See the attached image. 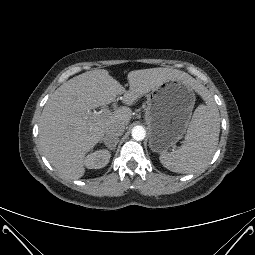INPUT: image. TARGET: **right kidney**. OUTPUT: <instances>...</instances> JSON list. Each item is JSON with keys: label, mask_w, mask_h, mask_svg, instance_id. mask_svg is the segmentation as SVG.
I'll return each instance as SVG.
<instances>
[{"label": "right kidney", "mask_w": 255, "mask_h": 255, "mask_svg": "<svg viewBox=\"0 0 255 255\" xmlns=\"http://www.w3.org/2000/svg\"><path fill=\"white\" fill-rule=\"evenodd\" d=\"M110 153L106 150H98L87 155L84 164L89 169H100L105 167L110 160Z\"/></svg>", "instance_id": "1"}]
</instances>
